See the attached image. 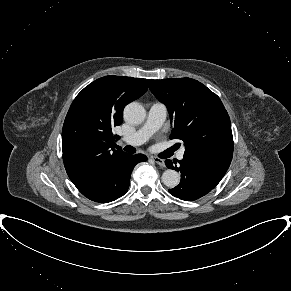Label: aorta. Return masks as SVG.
Here are the masks:
<instances>
[{
  "label": "aorta",
  "instance_id": "aorta-1",
  "mask_svg": "<svg viewBox=\"0 0 291 291\" xmlns=\"http://www.w3.org/2000/svg\"><path fill=\"white\" fill-rule=\"evenodd\" d=\"M146 116L145 108L138 102H131L124 109V118L131 124H140ZM162 182L165 186L174 188L180 182V174L172 169H167L162 174Z\"/></svg>",
  "mask_w": 291,
  "mask_h": 291
}]
</instances>
